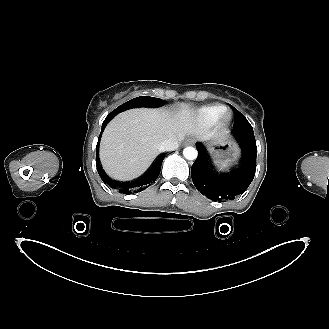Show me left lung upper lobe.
I'll list each match as a JSON object with an SVG mask.
<instances>
[{
	"label": "left lung upper lobe",
	"mask_w": 329,
	"mask_h": 329,
	"mask_svg": "<svg viewBox=\"0 0 329 329\" xmlns=\"http://www.w3.org/2000/svg\"><path fill=\"white\" fill-rule=\"evenodd\" d=\"M234 113H235V122L233 124L234 128H239V127H247L251 126L248 120L244 117L242 113H240L236 108L231 106Z\"/></svg>",
	"instance_id": "1"
}]
</instances>
